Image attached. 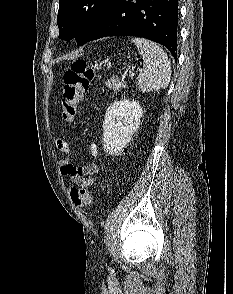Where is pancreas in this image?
Segmentation results:
<instances>
[{
	"label": "pancreas",
	"instance_id": "cf45deb5",
	"mask_svg": "<svg viewBox=\"0 0 233 294\" xmlns=\"http://www.w3.org/2000/svg\"><path fill=\"white\" fill-rule=\"evenodd\" d=\"M105 84L109 89H112L114 91H121L122 89L127 87L126 82L120 81L117 77H113L107 80Z\"/></svg>",
	"mask_w": 233,
	"mask_h": 294
}]
</instances>
